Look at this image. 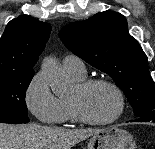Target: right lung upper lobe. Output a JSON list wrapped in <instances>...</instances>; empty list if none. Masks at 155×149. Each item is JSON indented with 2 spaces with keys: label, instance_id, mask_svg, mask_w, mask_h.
<instances>
[{
  "label": "right lung upper lobe",
  "instance_id": "1",
  "mask_svg": "<svg viewBox=\"0 0 155 149\" xmlns=\"http://www.w3.org/2000/svg\"><path fill=\"white\" fill-rule=\"evenodd\" d=\"M50 32V24L29 16L11 20L0 38V76L34 71Z\"/></svg>",
  "mask_w": 155,
  "mask_h": 149
}]
</instances>
